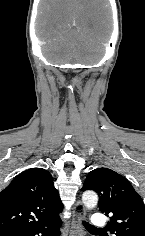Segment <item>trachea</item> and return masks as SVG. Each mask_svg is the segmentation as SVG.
Instances as JSON below:
<instances>
[{
	"instance_id": "trachea-1",
	"label": "trachea",
	"mask_w": 145,
	"mask_h": 236,
	"mask_svg": "<svg viewBox=\"0 0 145 236\" xmlns=\"http://www.w3.org/2000/svg\"><path fill=\"white\" fill-rule=\"evenodd\" d=\"M84 226L86 228H89V229H97L96 227L92 226L91 224H89L88 222H83Z\"/></svg>"
}]
</instances>
